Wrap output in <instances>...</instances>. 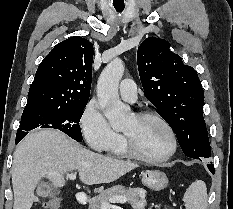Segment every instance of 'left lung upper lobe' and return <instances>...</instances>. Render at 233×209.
<instances>
[{"label":"left lung upper lobe","instance_id":"left-lung-upper-lobe-1","mask_svg":"<svg viewBox=\"0 0 233 209\" xmlns=\"http://www.w3.org/2000/svg\"><path fill=\"white\" fill-rule=\"evenodd\" d=\"M169 48L168 41L156 37L139 46L137 63L145 95L175 132L183 153L194 159L208 158L211 147L201 82L197 72Z\"/></svg>","mask_w":233,"mask_h":209}]
</instances>
